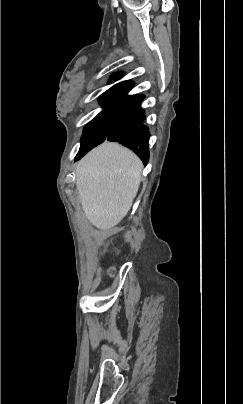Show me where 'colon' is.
Returning a JSON list of instances; mask_svg holds the SVG:
<instances>
[{"label": "colon", "instance_id": "1", "mask_svg": "<svg viewBox=\"0 0 243 404\" xmlns=\"http://www.w3.org/2000/svg\"><path fill=\"white\" fill-rule=\"evenodd\" d=\"M108 274H109L110 276H113V275L115 274V269H114V268H110V269L108 270Z\"/></svg>", "mask_w": 243, "mask_h": 404}]
</instances>
